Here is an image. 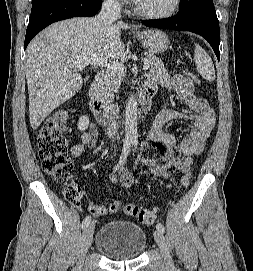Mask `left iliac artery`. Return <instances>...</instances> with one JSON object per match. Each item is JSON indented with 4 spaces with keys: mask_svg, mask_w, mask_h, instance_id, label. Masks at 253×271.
<instances>
[{
    "mask_svg": "<svg viewBox=\"0 0 253 271\" xmlns=\"http://www.w3.org/2000/svg\"><path fill=\"white\" fill-rule=\"evenodd\" d=\"M133 144H134V146L137 147L138 142L134 141ZM156 228H157V230H159L162 233H164V231H165V228H164L163 224H161V223H157Z\"/></svg>",
    "mask_w": 253,
    "mask_h": 271,
    "instance_id": "44dca946",
    "label": "left iliac artery"
}]
</instances>
